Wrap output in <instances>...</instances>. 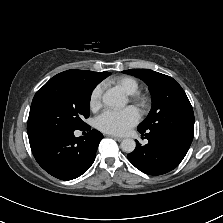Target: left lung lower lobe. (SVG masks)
<instances>
[{"instance_id":"1","label":"left lung lower lobe","mask_w":223,"mask_h":223,"mask_svg":"<svg viewBox=\"0 0 223 223\" xmlns=\"http://www.w3.org/2000/svg\"><path fill=\"white\" fill-rule=\"evenodd\" d=\"M142 136L146 131L138 130ZM148 144L136 141L135 150L128 154L129 161L149 175L165 174L176 168L185 157L193 137L166 130L147 131Z\"/></svg>"}]
</instances>
